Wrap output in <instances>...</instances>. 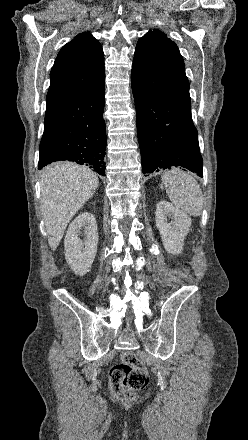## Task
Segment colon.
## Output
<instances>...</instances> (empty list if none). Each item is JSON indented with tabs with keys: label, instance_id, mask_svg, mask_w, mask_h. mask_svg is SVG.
Listing matches in <instances>:
<instances>
[{
	"label": "colon",
	"instance_id": "5ec220e1",
	"mask_svg": "<svg viewBox=\"0 0 248 440\" xmlns=\"http://www.w3.org/2000/svg\"><path fill=\"white\" fill-rule=\"evenodd\" d=\"M109 380L113 395L120 401H130L147 386L149 375L140 358L128 351L123 355L122 362L111 368Z\"/></svg>",
	"mask_w": 248,
	"mask_h": 440
}]
</instances>
